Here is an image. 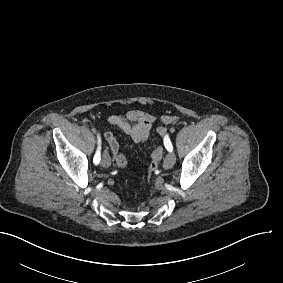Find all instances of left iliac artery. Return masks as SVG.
Returning <instances> with one entry per match:
<instances>
[{
    "label": "left iliac artery",
    "mask_w": 283,
    "mask_h": 283,
    "mask_svg": "<svg viewBox=\"0 0 283 283\" xmlns=\"http://www.w3.org/2000/svg\"><path fill=\"white\" fill-rule=\"evenodd\" d=\"M164 145L169 152L173 151V146H172V143H171L168 135H166L165 138H164Z\"/></svg>",
    "instance_id": "obj_1"
}]
</instances>
